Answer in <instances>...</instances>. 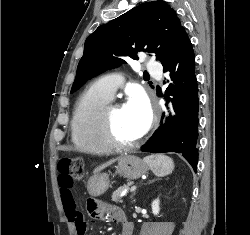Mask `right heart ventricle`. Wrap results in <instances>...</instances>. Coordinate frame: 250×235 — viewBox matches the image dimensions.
Here are the masks:
<instances>
[{
	"label": "right heart ventricle",
	"mask_w": 250,
	"mask_h": 235,
	"mask_svg": "<svg viewBox=\"0 0 250 235\" xmlns=\"http://www.w3.org/2000/svg\"><path fill=\"white\" fill-rule=\"evenodd\" d=\"M111 99L94 84L78 99L72 115L71 136L81 153L100 155L112 150L102 134V111Z\"/></svg>",
	"instance_id": "right-heart-ventricle-1"
}]
</instances>
